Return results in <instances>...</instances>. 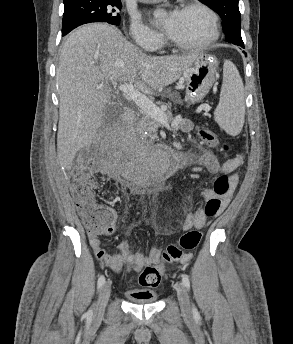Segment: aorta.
<instances>
[{"mask_svg": "<svg viewBox=\"0 0 293 344\" xmlns=\"http://www.w3.org/2000/svg\"><path fill=\"white\" fill-rule=\"evenodd\" d=\"M150 162L151 168L155 172H166L170 166V159L163 151L153 154Z\"/></svg>", "mask_w": 293, "mask_h": 344, "instance_id": "762f6f07", "label": "aorta"}]
</instances>
